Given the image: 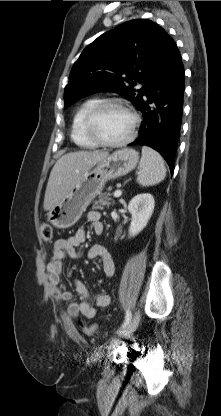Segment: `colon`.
<instances>
[{
	"label": "colon",
	"instance_id": "obj_1",
	"mask_svg": "<svg viewBox=\"0 0 221 416\" xmlns=\"http://www.w3.org/2000/svg\"><path fill=\"white\" fill-rule=\"evenodd\" d=\"M41 236L45 242H50L52 240L53 230L49 224H44L42 226ZM83 328L86 334H88L89 336H93L97 334V328H95L94 326H83Z\"/></svg>",
	"mask_w": 221,
	"mask_h": 416
}]
</instances>
